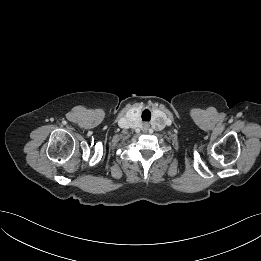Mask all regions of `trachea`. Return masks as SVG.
<instances>
[{
  "instance_id": "trachea-1",
  "label": "trachea",
  "mask_w": 261,
  "mask_h": 261,
  "mask_svg": "<svg viewBox=\"0 0 261 261\" xmlns=\"http://www.w3.org/2000/svg\"><path fill=\"white\" fill-rule=\"evenodd\" d=\"M151 119V113L149 110H144L142 113V120L143 121H150Z\"/></svg>"
}]
</instances>
